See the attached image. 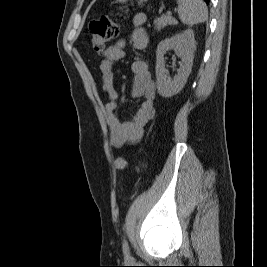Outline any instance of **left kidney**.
<instances>
[{"mask_svg": "<svg viewBox=\"0 0 267 267\" xmlns=\"http://www.w3.org/2000/svg\"><path fill=\"white\" fill-rule=\"evenodd\" d=\"M195 48L196 42L192 29L164 39L158 44L155 70L159 95L169 98L182 90L192 70ZM171 49L182 61L180 68L177 69V75L173 79L167 76L168 71L165 69L164 58L165 53Z\"/></svg>", "mask_w": 267, "mask_h": 267, "instance_id": "obj_1", "label": "left kidney"}]
</instances>
